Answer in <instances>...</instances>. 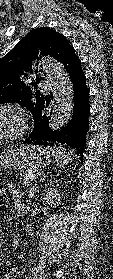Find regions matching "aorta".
Returning <instances> with one entry per match:
<instances>
[{
    "label": "aorta",
    "instance_id": "762f6f07",
    "mask_svg": "<svg viewBox=\"0 0 113 279\" xmlns=\"http://www.w3.org/2000/svg\"><path fill=\"white\" fill-rule=\"evenodd\" d=\"M41 65L53 86L54 108L49 126L52 130H58L67 124L72 115L74 107L72 81L64 66L54 58H42Z\"/></svg>",
    "mask_w": 113,
    "mask_h": 279
}]
</instances>
